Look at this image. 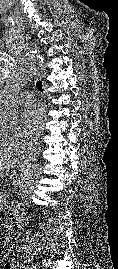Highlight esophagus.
Wrapping results in <instances>:
<instances>
[{"label":"esophagus","instance_id":"obj_1","mask_svg":"<svg viewBox=\"0 0 118 269\" xmlns=\"http://www.w3.org/2000/svg\"><path fill=\"white\" fill-rule=\"evenodd\" d=\"M39 77L40 78H44L45 74L43 73V69H41L39 72ZM44 87V90H45V85L43 86ZM41 145L33 148L32 150L26 152L24 155H22V157L20 158V161L23 162V163H28L30 161H33L36 159V157L40 154L41 152Z\"/></svg>","mask_w":118,"mask_h":269}]
</instances>
